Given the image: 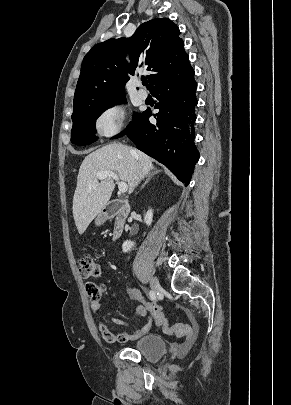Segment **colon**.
Masks as SVG:
<instances>
[{
	"label": "colon",
	"mask_w": 291,
	"mask_h": 405,
	"mask_svg": "<svg viewBox=\"0 0 291 405\" xmlns=\"http://www.w3.org/2000/svg\"><path fill=\"white\" fill-rule=\"evenodd\" d=\"M101 271V265L91 255L85 254L79 258V272L83 278H97L101 275ZM86 290L92 302L99 300L102 291L101 286L96 283L89 282L86 285ZM131 292L138 300L142 301L146 305L150 320L161 327L165 334L174 335L185 341H190L194 338V330L189 324H169L160 305L145 301L141 294L136 290H132Z\"/></svg>",
	"instance_id": "obj_1"
}]
</instances>
